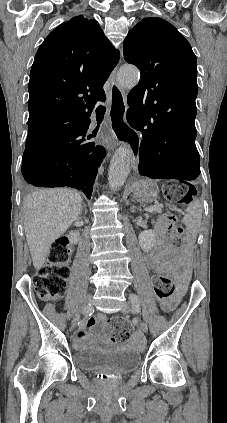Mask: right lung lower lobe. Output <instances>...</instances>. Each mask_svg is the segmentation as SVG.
<instances>
[{
  "label": "right lung lower lobe",
  "instance_id": "obj_1",
  "mask_svg": "<svg viewBox=\"0 0 227 423\" xmlns=\"http://www.w3.org/2000/svg\"><path fill=\"white\" fill-rule=\"evenodd\" d=\"M93 107L38 106L29 110V120L55 116L73 118L72 125L54 137L26 148L22 158L24 179L36 187H72L91 198L93 184L104 150L89 141L85 133Z\"/></svg>",
  "mask_w": 227,
  "mask_h": 423
}]
</instances>
